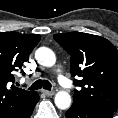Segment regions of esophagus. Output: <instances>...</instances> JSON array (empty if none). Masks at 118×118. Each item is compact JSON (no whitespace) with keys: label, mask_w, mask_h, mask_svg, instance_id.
<instances>
[{"label":"esophagus","mask_w":118,"mask_h":118,"mask_svg":"<svg viewBox=\"0 0 118 118\" xmlns=\"http://www.w3.org/2000/svg\"><path fill=\"white\" fill-rule=\"evenodd\" d=\"M42 92H43L46 96H53V95L55 94L54 91L42 90Z\"/></svg>","instance_id":"obj_1"}]
</instances>
